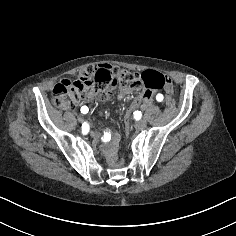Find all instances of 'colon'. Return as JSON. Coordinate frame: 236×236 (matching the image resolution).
Segmentation results:
<instances>
[{
	"label": "colon",
	"instance_id": "obj_1",
	"mask_svg": "<svg viewBox=\"0 0 236 236\" xmlns=\"http://www.w3.org/2000/svg\"><path fill=\"white\" fill-rule=\"evenodd\" d=\"M118 83L144 86V90L132 100L126 110V125H128L135 107L149 96L151 91L171 88V80L164 74L153 70L138 74L107 64L87 65L79 71L76 80H63L55 85L52 91V103L61 110H72L86 96L94 92H109ZM166 103L168 106L174 105V101L170 97L167 98Z\"/></svg>",
	"mask_w": 236,
	"mask_h": 236
}]
</instances>
